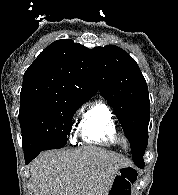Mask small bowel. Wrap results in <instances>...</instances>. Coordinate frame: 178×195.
<instances>
[{"instance_id": "c3829d8e", "label": "small bowel", "mask_w": 178, "mask_h": 195, "mask_svg": "<svg viewBox=\"0 0 178 195\" xmlns=\"http://www.w3.org/2000/svg\"><path fill=\"white\" fill-rule=\"evenodd\" d=\"M129 194H130V191L128 187L122 188V190L118 192V195H129Z\"/></svg>"}]
</instances>
